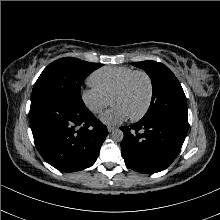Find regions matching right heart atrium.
<instances>
[{
    "instance_id": "d8ad5b80",
    "label": "right heart atrium",
    "mask_w": 220,
    "mask_h": 220,
    "mask_svg": "<svg viewBox=\"0 0 220 220\" xmlns=\"http://www.w3.org/2000/svg\"><path fill=\"white\" fill-rule=\"evenodd\" d=\"M80 96L84 106L93 114H99L110 103V99L93 86L83 89Z\"/></svg>"
}]
</instances>
